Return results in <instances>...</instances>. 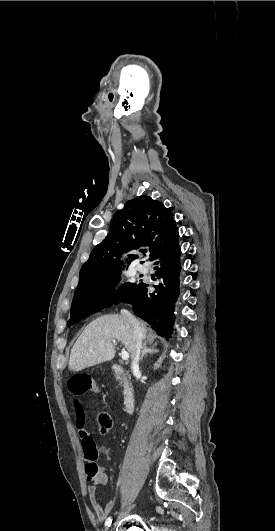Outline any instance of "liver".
<instances>
[{"label":"liver","mask_w":275,"mask_h":531,"mask_svg":"<svg viewBox=\"0 0 275 531\" xmlns=\"http://www.w3.org/2000/svg\"><path fill=\"white\" fill-rule=\"evenodd\" d=\"M142 339H146L145 323L141 321ZM121 341L131 357L134 351L133 327L123 315H103L87 325L70 353L69 369L82 371L115 357V345L112 341Z\"/></svg>","instance_id":"1"}]
</instances>
